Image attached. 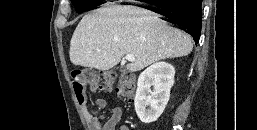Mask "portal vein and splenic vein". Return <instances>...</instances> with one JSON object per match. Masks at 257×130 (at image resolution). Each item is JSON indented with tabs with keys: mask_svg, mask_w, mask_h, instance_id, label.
Wrapping results in <instances>:
<instances>
[{
	"mask_svg": "<svg viewBox=\"0 0 257 130\" xmlns=\"http://www.w3.org/2000/svg\"><path fill=\"white\" fill-rule=\"evenodd\" d=\"M125 58H126V60H128V61H130V62L135 61L134 56H133V55H131V54H127V55L125 56Z\"/></svg>",
	"mask_w": 257,
	"mask_h": 130,
	"instance_id": "18ae733b",
	"label": "portal vein and splenic vein"
}]
</instances>
